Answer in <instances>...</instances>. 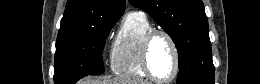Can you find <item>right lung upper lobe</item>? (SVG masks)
Segmentation results:
<instances>
[{"mask_svg":"<svg viewBox=\"0 0 260 84\" xmlns=\"http://www.w3.org/2000/svg\"><path fill=\"white\" fill-rule=\"evenodd\" d=\"M124 9L125 0H68L57 39L84 35L100 21H118Z\"/></svg>","mask_w":260,"mask_h":84,"instance_id":"obj_1","label":"right lung upper lobe"}]
</instances>
